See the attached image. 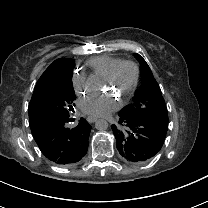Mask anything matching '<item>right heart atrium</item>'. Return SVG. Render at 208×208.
Returning <instances> with one entry per match:
<instances>
[{
    "mask_svg": "<svg viewBox=\"0 0 208 208\" xmlns=\"http://www.w3.org/2000/svg\"><path fill=\"white\" fill-rule=\"evenodd\" d=\"M71 86L73 92L79 97L87 96L92 92L90 78L78 71L73 72Z\"/></svg>",
    "mask_w": 208,
    "mask_h": 208,
    "instance_id": "d8ad5b80",
    "label": "right heart atrium"
}]
</instances>
